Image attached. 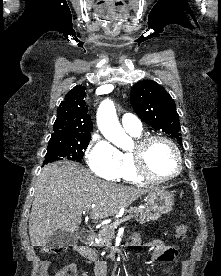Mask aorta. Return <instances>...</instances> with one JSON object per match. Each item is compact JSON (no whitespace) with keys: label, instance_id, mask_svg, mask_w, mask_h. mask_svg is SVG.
<instances>
[{"label":"aorta","instance_id":"1","mask_svg":"<svg viewBox=\"0 0 221 276\" xmlns=\"http://www.w3.org/2000/svg\"><path fill=\"white\" fill-rule=\"evenodd\" d=\"M97 124L107 140L114 145L124 148L129 141L128 135L120 125L114 103L104 100L97 111Z\"/></svg>","mask_w":221,"mask_h":276}]
</instances>
